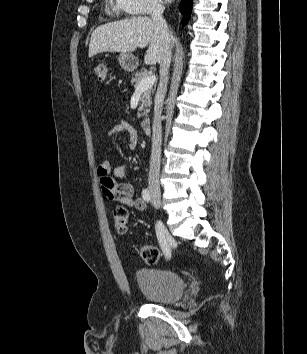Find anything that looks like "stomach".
I'll return each instance as SVG.
<instances>
[{
	"instance_id": "obj_1",
	"label": "stomach",
	"mask_w": 307,
	"mask_h": 354,
	"mask_svg": "<svg viewBox=\"0 0 307 354\" xmlns=\"http://www.w3.org/2000/svg\"><path fill=\"white\" fill-rule=\"evenodd\" d=\"M118 62L121 68L128 72H132L138 67L137 57L130 53H121Z\"/></svg>"
}]
</instances>
